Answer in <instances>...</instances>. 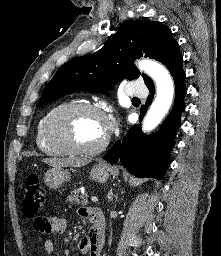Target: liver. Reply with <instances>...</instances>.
<instances>
[{
	"instance_id": "liver-1",
	"label": "liver",
	"mask_w": 221,
	"mask_h": 256,
	"mask_svg": "<svg viewBox=\"0 0 221 256\" xmlns=\"http://www.w3.org/2000/svg\"><path fill=\"white\" fill-rule=\"evenodd\" d=\"M44 163L48 164L53 168L59 167H81L88 163L87 160L81 158H45L42 160Z\"/></svg>"
}]
</instances>
